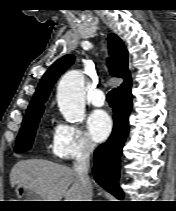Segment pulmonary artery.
Instances as JSON below:
<instances>
[{"mask_svg":"<svg viewBox=\"0 0 176 211\" xmlns=\"http://www.w3.org/2000/svg\"><path fill=\"white\" fill-rule=\"evenodd\" d=\"M92 105L102 107L105 104V94L101 89H94L89 96Z\"/></svg>","mask_w":176,"mask_h":211,"instance_id":"obj_1","label":"pulmonary artery"}]
</instances>
